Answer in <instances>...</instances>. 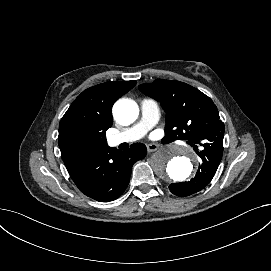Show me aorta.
Here are the masks:
<instances>
[{
    "mask_svg": "<svg viewBox=\"0 0 271 271\" xmlns=\"http://www.w3.org/2000/svg\"><path fill=\"white\" fill-rule=\"evenodd\" d=\"M139 114L137 104L128 99L117 101L113 106V115L117 122L125 125L133 123ZM194 154L181 147H166L151 157L154 172L165 180L184 181L193 170Z\"/></svg>",
    "mask_w": 271,
    "mask_h": 271,
    "instance_id": "1",
    "label": "aorta"
}]
</instances>
